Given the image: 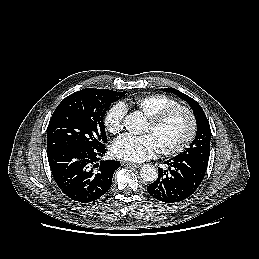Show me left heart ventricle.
<instances>
[{"label": "left heart ventricle", "mask_w": 259, "mask_h": 259, "mask_svg": "<svg viewBox=\"0 0 259 259\" xmlns=\"http://www.w3.org/2000/svg\"><path fill=\"white\" fill-rule=\"evenodd\" d=\"M188 131V117L183 112H178L156 128L147 123L144 133L152 136L158 149H168L179 144Z\"/></svg>", "instance_id": "obj_1"}]
</instances>
